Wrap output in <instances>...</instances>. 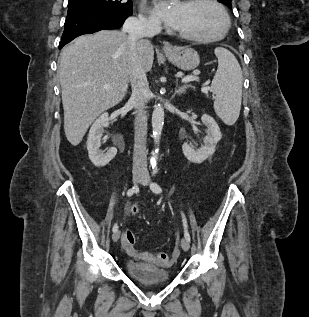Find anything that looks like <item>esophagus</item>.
Segmentation results:
<instances>
[{
  "instance_id": "obj_1",
  "label": "esophagus",
  "mask_w": 309,
  "mask_h": 317,
  "mask_svg": "<svg viewBox=\"0 0 309 317\" xmlns=\"http://www.w3.org/2000/svg\"><path fill=\"white\" fill-rule=\"evenodd\" d=\"M163 50H164L165 52H170V51L173 50V47H172V45H171L170 43L166 42V43H164V45H163Z\"/></svg>"
}]
</instances>
